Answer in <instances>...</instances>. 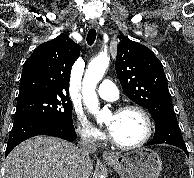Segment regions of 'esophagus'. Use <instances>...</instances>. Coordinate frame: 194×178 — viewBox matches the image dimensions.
Segmentation results:
<instances>
[{
  "label": "esophagus",
  "mask_w": 194,
  "mask_h": 178,
  "mask_svg": "<svg viewBox=\"0 0 194 178\" xmlns=\"http://www.w3.org/2000/svg\"><path fill=\"white\" fill-rule=\"evenodd\" d=\"M96 26H97V22L96 21H90L89 22V27L90 28H94ZM103 158L104 159H112V158H114V154H112L111 152L105 151L103 153Z\"/></svg>",
  "instance_id": "1"
}]
</instances>
